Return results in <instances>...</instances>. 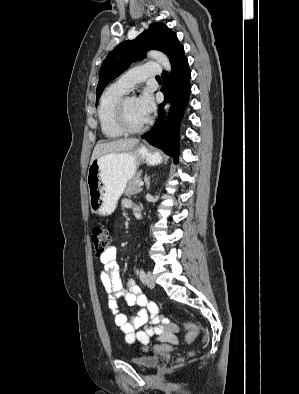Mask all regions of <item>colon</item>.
Here are the masks:
<instances>
[{
	"label": "colon",
	"instance_id": "1",
	"mask_svg": "<svg viewBox=\"0 0 299 394\" xmlns=\"http://www.w3.org/2000/svg\"><path fill=\"white\" fill-rule=\"evenodd\" d=\"M90 237L96 254L100 255L108 250L111 242V236L109 234V231L105 227L100 225L93 226L90 231ZM184 327L187 331L185 336L186 343H192L200 331L203 332V342H208V333L198 325H195L193 323H185ZM159 348L163 349L164 347L161 346Z\"/></svg>",
	"mask_w": 299,
	"mask_h": 394
}]
</instances>
